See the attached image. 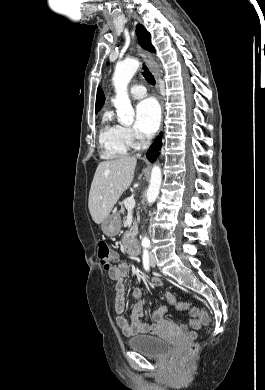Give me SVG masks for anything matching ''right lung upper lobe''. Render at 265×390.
Masks as SVG:
<instances>
[{
    "label": "right lung upper lobe",
    "instance_id": "obj_1",
    "mask_svg": "<svg viewBox=\"0 0 265 390\" xmlns=\"http://www.w3.org/2000/svg\"><path fill=\"white\" fill-rule=\"evenodd\" d=\"M104 102H105L104 93H103L102 89L100 87H98L97 97H96V106H95L96 111H99L101 109Z\"/></svg>",
    "mask_w": 265,
    "mask_h": 390
}]
</instances>
